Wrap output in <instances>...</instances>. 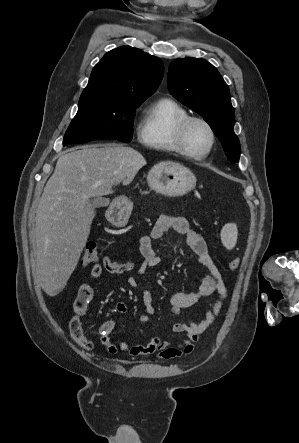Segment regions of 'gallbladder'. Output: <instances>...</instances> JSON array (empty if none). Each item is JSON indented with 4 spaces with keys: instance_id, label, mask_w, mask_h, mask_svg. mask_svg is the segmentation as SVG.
<instances>
[{
    "instance_id": "1",
    "label": "gallbladder",
    "mask_w": 299,
    "mask_h": 443,
    "mask_svg": "<svg viewBox=\"0 0 299 443\" xmlns=\"http://www.w3.org/2000/svg\"><path fill=\"white\" fill-rule=\"evenodd\" d=\"M91 204L94 206V208H99L103 206H107L109 204V200L105 198L98 197L91 201Z\"/></svg>"
}]
</instances>
